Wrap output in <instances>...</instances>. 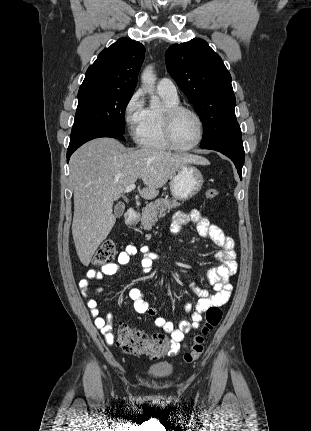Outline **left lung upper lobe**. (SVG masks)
Listing matches in <instances>:
<instances>
[{
  "label": "left lung upper lobe",
  "mask_w": 311,
  "mask_h": 431,
  "mask_svg": "<svg viewBox=\"0 0 311 431\" xmlns=\"http://www.w3.org/2000/svg\"><path fill=\"white\" fill-rule=\"evenodd\" d=\"M167 70L203 123L200 147L241 135L235 116L231 75L220 56L200 38L174 44L165 54Z\"/></svg>",
  "instance_id": "1"
}]
</instances>
